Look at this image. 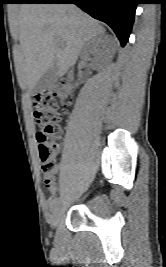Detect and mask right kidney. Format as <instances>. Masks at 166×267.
Returning a JSON list of instances; mask_svg holds the SVG:
<instances>
[{"instance_id": "ca27d5eb", "label": "right kidney", "mask_w": 166, "mask_h": 267, "mask_svg": "<svg viewBox=\"0 0 166 267\" xmlns=\"http://www.w3.org/2000/svg\"><path fill=\"white\" fill-rule=\"evenodd\" d=\"M102 41L100 39H93L87 44V47L84 49V57L88 58L91 54H94L97 49L100 47Z\"/></svg>"}]
</instances>
